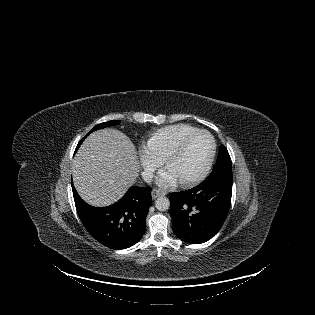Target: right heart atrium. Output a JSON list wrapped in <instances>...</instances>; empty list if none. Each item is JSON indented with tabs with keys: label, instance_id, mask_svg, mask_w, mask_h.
Here are the masks:
<instances>
[{
	"label": "right heart atrium",
	"instance_id": "right-heart-atrium-1",
	"mask_svg": "<svg viewBox=\"0 0 315 315\" xmlns=\"http://www.w3.org/2000/svg\"><path fill=\"white\" fill-rule=\"evenodd\" d=\"M139 157L143 168V176L145 178L150 177L155 169L161 164V161L156 158L146 146L140 149Z\"/></svg>",
	"mask_w": 315,
	"mask_h": 315
}]
</instances>
